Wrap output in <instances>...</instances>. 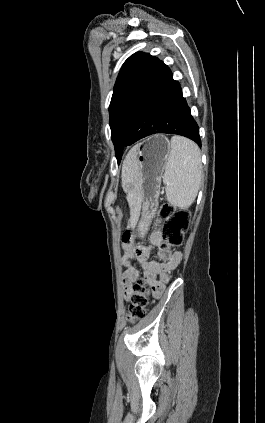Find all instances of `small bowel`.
I'll return each mask as SVG.
<instances>
[{
  "instance_id": "small-bowel-1",
  "label": "small bowel",
  "mask_w": 265,
  "mask_h": 423,
  "mask_svg": "<svg viewBox=\"0 0 265 423\" xmlns=\"http://www.w3.org/2000/svg\"><path fill=\"white\" fill-rule=\"evenodd\" d=\"M150 243L158 245L161 243L162 235L158 230L150 234ZM150 250L147 246H134L129 252H124L122 263L125 267L122 275L123 295L125 299L130 298L133 285L141 279L138 269L133 265L136 259L143 270V278L150 288L154 297H159L164 291L165 284L170 280L171 273L182 260V253L171 252L163 254L160 261L149 260Z\"/></svg>"
}]
</instances>
